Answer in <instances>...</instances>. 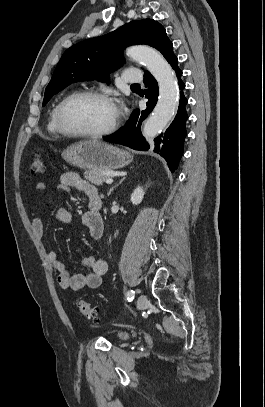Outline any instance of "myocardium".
I'll list each match as a JSON object with an SVG mask.
<instances>
[{"label": "myocardium", "mask_w": 265, "mask_h": 407, "mask_svg": "<svg viewBox=\"0 0 265 407\" xmlns=\"http://www.w3.org/2000/svg\"><path fill=\"white\" fill-rule=\"evenodd\" d=\"M78 98H96V99H101L104 101H107L111 103L114 106V102L110 96L107 94L100 92V91H95V90H82V91H76L73 92L69 95H67L59 104L58 109H57V114H56V119H57V125L59 130L66 136L70 137H79V138H101L107 135L112 134L116 129L118 128L119 125V114L116 113V117L111 123V125L103 130L96 131V132H84V131H79L75 130L71 127L66 122L65 119V112L68 104L73 101L74 99Z\"/></svg>", "instance_id": "myocardium-1"}]
</instances>
